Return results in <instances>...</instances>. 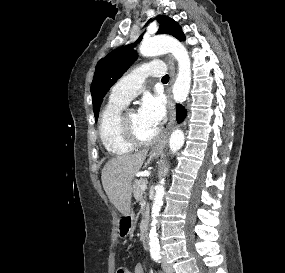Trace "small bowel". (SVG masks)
<instances>
[{
	"instance_id": "small-bowel-1",
	"label": "small bowel",
	"mask_w": 285,
	"mask_h": 273,
	"mask_svg": "<svg viewBox=\"0 0 285 273\" xmlns=\"http://www.w3.org/2000/svg\"><path fill=\"white\" fill-rule=\"evenodd\" d=\"M128 273H145V270H144V267L142 264L140 263H137L135 266H134V269L132 272H130L128 270Z\"/></svg>"
}]
</instances>
